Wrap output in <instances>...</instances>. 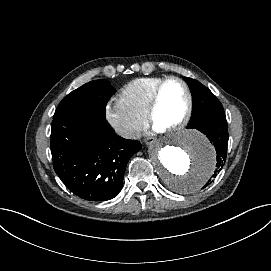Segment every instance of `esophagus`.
Instances as JSON below:
<instances>
[{
	"instance_id": "obj_1",
	"label": "esophagus",
	"mask_w": 271,
	"mask_h": 271,
	"mask_svg": "<svg viewBox=\"0 0 271 271\" xmlns=\"http://www.w3.org/2000/svg\"><path fill=\"white\" fill-rule=\"evenodd\" d=\"M156 142H157V138L155 136H150V137L144 139V143L148 146L152 145Z\"/></svg>"
}]
</instances>
